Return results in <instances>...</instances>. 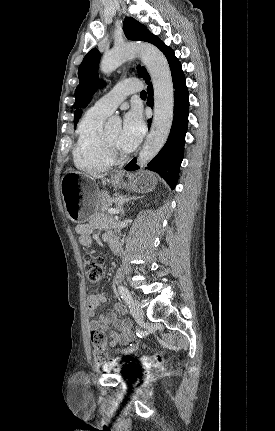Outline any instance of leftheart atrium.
Here are the masks:
<instances>
[{"mask_svg":"<svg viewBox=\"0 0 275 431\" xmlns=\"http://www.w3.org/2000/svg\"><path fill=\"white\" fill-rule=\"evenodd\" d=\"M145 132L144 120L138 110L128 111L123 120V126L118 139V146L124 152L133 151Z\"/></svg>","mask_w":275,"mask_h":431,"instance_id":"obj_1","label":"left heart atrium"}]
</instances>
